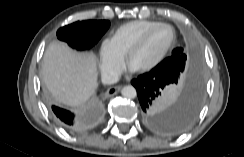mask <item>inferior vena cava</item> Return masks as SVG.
Instances as JSON below:
<instances>
[{
  "label": "inferior vena cava",
  "mask_w": 244,
  "mask_h": 157,
  "mask_svg": "<svg viewBox=\"0 0 244 157\" xmlns=\"http://www.w3.org/2000/svg\"><path fill=\"white\" fill-rule=\"evenodd\" d=\"M119 81V74L116 72H106L102 75L104 84H114Z\"/></svg>",
  "instance_id": "602c4592"
}]
</instances>
